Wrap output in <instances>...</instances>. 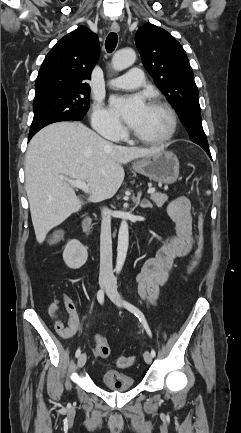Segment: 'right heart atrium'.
<instances>
[{"label": "right heart atrium", "mask_w": 241, "mask_h": 433, "mask_svg": "<svg viewBox=\"0 0 241 433\" xmlns=\"http://www.w3.org/2000/svg\"><path fill=\"white\" fill-rule=\"evenodd\" d=\"M91 122L96 132L111 139L121 138L124 134L120 120L102 105L94 107Z\"/></svg>", "instance_id": "d8ad5b80"}]
</instances>
